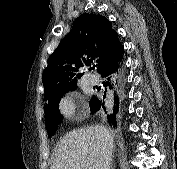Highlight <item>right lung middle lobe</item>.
Segmentation results:
<instances>
[{
  "label": "right lung middle lobe",
  "instance_id": "dd1d6c3e",
  "mask_svg": "<svg viewBox=\"0 0 177 169\" xmlns=\"http://www.w3.org/2000/svg\"><path fill=\"white\" fill-rule=\"evenodd\" d=\"M74 88L75 87L69 90H72ZM69 90L63 92L56 100L47 103L48 106H45V118H46L45 120L48 137H51L54 134L58 124L61 122V115L59 114L58 105L61 97Z\"/></svg>",
  "mask_w": 177,
  "mask_h": 169
}]
</instances>
